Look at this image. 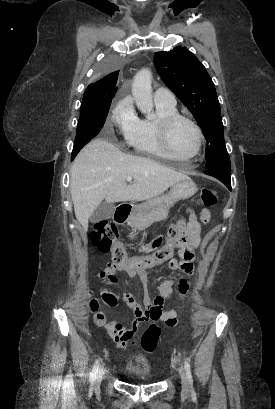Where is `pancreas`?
I'll return each instance as SVG.
<instances>
[{
	"label": "pancreas",
	"instance_id": "cf45deb5",
	"mask_svg": "<svg viewBox=\"0 0 275 409\" xmlns=\"http://www.w3.org/2000/svg\"><path fill=\"white\" fill-rule=\"evenodd\" d=\"M168 217V209L161 205V207H157L154 209L150 215H143V213H137L134 217H130L129 221H127L128 225H133V227H149L155 221H163ZM134 235H132L131 239H133Z\"/></svg>",
	"mask_w": 275,
	"mask_h": 409
}]
</instances>
